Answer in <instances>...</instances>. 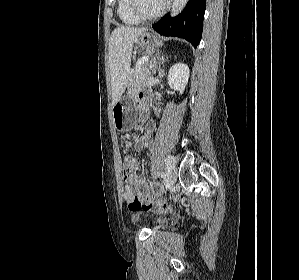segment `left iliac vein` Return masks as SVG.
<instances>
[{
  "mask_svg": "<svg viewBox=\"0 0 299 280\" xmlns=\"http://www.w3.org/2000/svg\"><path fill=\"white\" fill-rule=\"evenodd\" d=\"M177 181V170L175 168H173L169 174V178H168V186L169 188H172L175 183Z\"/></svg>",
  "mask_w": 299,
  "mask_h": 280,
  "instance_id": "left-iliac-vein-1",
  "label": "left iliac vein"
}]
</instances>
